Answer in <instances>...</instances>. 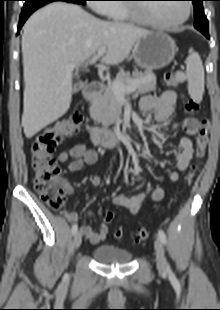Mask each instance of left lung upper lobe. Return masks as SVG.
<instances>
[{"label": "left lung upper lobe", "instance_id": "1", "mask_svg": "<svg viewBox=\"0 0 220 310\" xmlns=\"http://www.w3.org/2000/svg\"><path fill=\"white\" fill-rule=\"evenodd\" d=\"M194 4V16L195 23L194 26L201 33L208 32V21L204 14L202 2L204 0H191Z\"/></svg>", "mask_w": 220, "mask_h": 310}]
</instances>
